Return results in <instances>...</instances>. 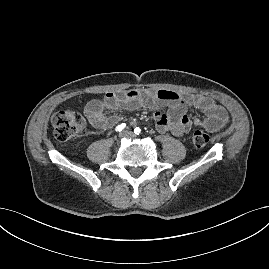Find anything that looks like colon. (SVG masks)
<instances>
[{"instance_id":"obj_1","label":"colon","mask_w":269,"mask_h":269,"mask_svg":"<svg viewBox=\"0 0 269 269\" xmlns=\"http://www.w3.org/2000/svg\"><path fill=\"white\" fill-rule=\"evenodd\" d=\"M54 136L59 141H68L81 134L86 127V120L79 112L66 109L57 112L52 117ZM192 141L196 148H203L209 142V136L197 130L192 135Z\"/></svg>"}]
</instances>
